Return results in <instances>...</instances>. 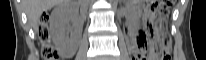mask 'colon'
Masks as SVG:
<instances>
[{
  "label": "colon",
  "instance_id": "obj_1",
  "mask_svg": "<svg viewBox=\"0 0 206 60\" xmlns=\"http://www.w3.org/2000/svg\"><path fill=\"white\" fill-rule=\"evenodd\" d=\"M172 1H157L151 6L152 11H157L160 15H166L169 12ZM49 17L42 15L38 26V40L41 48V55L44 60H58L59 53L51 44V37L48 30ZM165 26L162 21L156 24L150 23L148 31L149 40H143L140 49L133 60H169L170 44L169 39L164 35Z\"/></svg>",
  "mask_w": 206,
  "mask_h": 60
}]
</instances>
